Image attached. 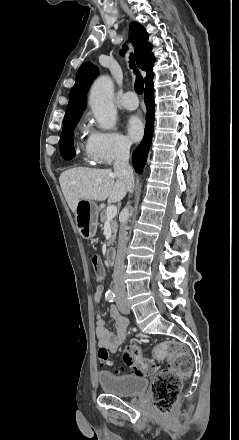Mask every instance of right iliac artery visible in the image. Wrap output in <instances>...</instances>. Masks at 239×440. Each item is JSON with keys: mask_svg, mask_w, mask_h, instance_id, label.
Wrapping results in <instances>:
<instances>
[{"mask_svg": "<svg viewBox=\"0 0 239 440\" xmlns=\"http://www.w3.org/2000/svg\"><path fill=\"white\" fill-rule=\"evenodd\" d=\"M105 299L109 302H113L115 300V294L113 291L109 290L106 292Z\"/></svg>", "mask_w": 239, "mask_h": 440, "instance_id": "82829eb1", "label": "right iliac artery"}]
</instances>
